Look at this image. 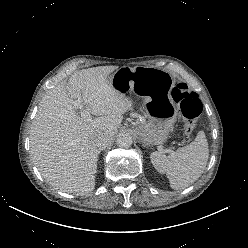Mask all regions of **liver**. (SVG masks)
I'll return each mask as SVG.
<instances>
[{
    "instance_id": "1",
    "label": "liver",
    "mask_w": 248,
    "mask_h": 248,
    "mask_svg": "<svg viewBox=\"0 0 248 248\" xmlns=\"http://www.w3.org/2000/svg\"><path fill=\"white\" fill-rule=\"evenodd\" d=\"M117 68L80 70L42 98L31 124L30 155L42 177L54 188L77 195L93 191L100 153L93 139L106 134L112 140L133 104L111 83L109 75ZM76 101L80 106L75 105ZM77 109L97 118L86 120Z\"/></svg>"
}]
</instances>
